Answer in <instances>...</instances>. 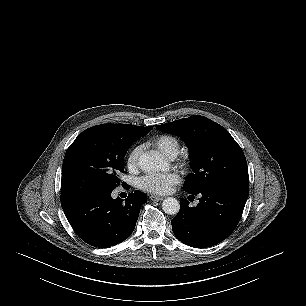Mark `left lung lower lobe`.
Masks as SVG:
<instances>
[{"instance_id": "obj_1", "label": "left lung lower lobe", "mask_w": 306, "mask_h": 306, "mask_svg": "<svg viewBox=\"0 0 306 306\" xmlns=\"http://www.w3.org/2000/svg\"><path fill=\"white\" fill-rule=\"evenodd\" d=\"M192 195H201L196 207H189L181 198L180 210L172 219L175 236L184 244L205 248L226 239L240 221L249 189L218 186L204 189Z\"/></svg>"}]
</instances>
